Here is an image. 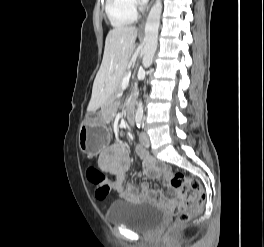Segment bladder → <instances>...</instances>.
Instances as JSON below:
<instances>
[{"mask_svg":"<svg viewBox=\"0 0 264 247\" xmlns=\"http://www.w3.org/2000/svg\"><path fill=\"white\" fill-rule=\"evenodd\" d=\"M111 224H122L139 233H152L166 220L163 209L154 204L141 201L113 202L106 214Z\"/></svg>","mask_w":264,"mask_h":247,"instance_id":"bladder-1","label":"bladder"}]
</instances>
